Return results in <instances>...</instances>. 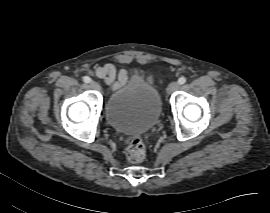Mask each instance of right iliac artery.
Instances as JSON below:
<instances>
[{"label":"right iliac artery","mask_w":270,"mask_h":213,"mask_svg":"<svg viewBox=\"0 0 270 213\" xmlns=\"http://www.w3.org/2000/svg\"><path fill=\"white\" fill-rule=\"evenodd\" d=\"M83 80L86 83H90L91 82V78L89 76H84Z\"/></svg>","instance_id":"82829eb1"}]
</instances>
